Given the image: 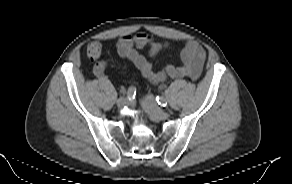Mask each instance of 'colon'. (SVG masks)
I'll return each mask as SVG.
<instances>
[{"label":"colon","instance_id":"5ec220e1","mask_svg":"<svg viewBox=\"0 0 292 184\" xmlns=\"http://www.w3.org/2000/svg\"><path fill=\"white\" fill-rule=\"evenodd\" d=\"M102 53V45L97 42L94 41L92 43H90L87 47V55L91 60H97Z\"/></svg>","mask_w":292,"mask_h":184}]
</instances>
